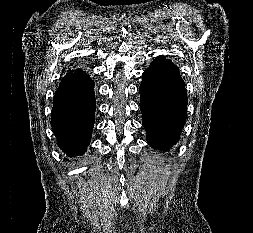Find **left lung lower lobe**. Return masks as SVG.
<instances>
[{
	"label": "left lung lower lobe",
	"instance_id": "0a47b994",
	"mask_svg": "<svg viewBox=\"0 0 253 233\" xmlns=\"http://www.w3.org/2000/svg\"><path fill=\"white\" fill-rule=\"evenodd\" d=\"M139 88L142 125L154 149L167 150L180 138L186 122L187 95L178 67L157 57L142 75Z\"/></svg>",
	"mask_w": 253,
	"mask_h": 233
}]
</instances>
